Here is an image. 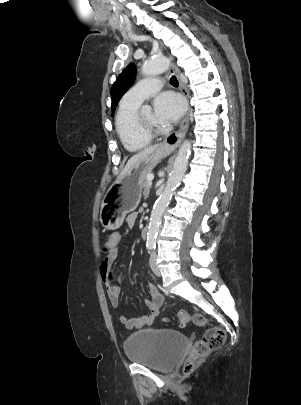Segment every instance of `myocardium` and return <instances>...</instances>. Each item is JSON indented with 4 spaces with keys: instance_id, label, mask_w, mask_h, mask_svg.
Returning a JSON list of instances; mask_svg holds the SVG:
<instances>
[{
    "instance_id": "1",
    "label": "myocardium",
    "mask_w": 301,
    "mask_h": 405,
    "mask_svg": "<svg viewBox=\"0 0 301 405\" xmlns=\"http://www.w3.org/2000/svg\"><path fill=\"white\" fill-rule=\"evenodd\" d=\"M135 129L140 135L150 139L160 136L165 132L164 128H155L145 125L140 112H137L135 117Z\"/></svg>"
}]
</instances>
